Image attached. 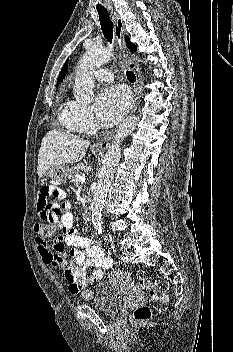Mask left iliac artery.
Returning <instances> with one entry per match:
<instances>
[{"mask_svg":"<svg viewBox=\"0 0 233 352\" xmlns=\"http://www.w3.org/2000/svg\"><path fill=\"white\" fill-rule=\"evenodd\" d=\"M125 259H126V256L123 255V256H122V261H125Z\"/></svg>","mask_w":233,"mask_h":352,"instance_id":"left-iliac-artery-1","label":"left iliac artery"}]
</instances>
